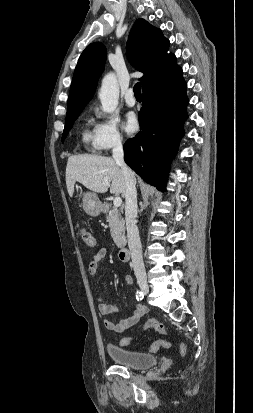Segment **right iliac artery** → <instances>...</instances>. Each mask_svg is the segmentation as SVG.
Listing matches in <instances>:
<instances>
[{"mask_svg":"<svg viewBox=\"0 0 253 413\" xmlns=\"http://www.w3.org/2000/svg\"><path fill=\"white\" fill-rule=\"evenodd\" d=\"M136 299L137 300H142L143 299V293L141 291L136 292Z\"/></svg>","mask_w":253,"mask_h":413,"instance_id":"obj_1","label":"right iliac artery"}]
</instances>
